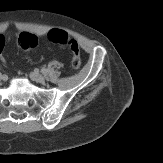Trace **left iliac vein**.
<instances>
[{
	"label": "left iliac vein",
	"mask_w": 163,
	"mask_h": 163,
	"mask_svg": "<svg viewBox=\"0 0 163 163\" xmlns=\"http://www.w3.org/2000/svg\"><path fill=\"white\" fill-rule=\"evenodd\" d=\"M31 78H32L35 82H38V83H44V81H45L44 76L41 75L40 73H37V72L31 73Z\"/></svg>",
	"instance_id": "obj_1"
}]
</instances>
